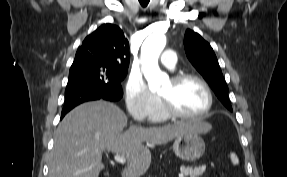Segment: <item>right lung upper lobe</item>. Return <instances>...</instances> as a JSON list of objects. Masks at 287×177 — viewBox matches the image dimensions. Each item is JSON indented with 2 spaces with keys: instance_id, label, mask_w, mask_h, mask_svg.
<instances>
[{
  "instance_id": "cb5924a9",
  "label": "right lung upper lobe",
  "mask_w": 287,
  "mask_h": 177,
  "mask_svg": "<svg viewBox=\"0 0 287 177\" xmlns=\"http://www.w3.org/2000/svg\"><path fill=\"white\" fill-rule=\"evenodd\" d=\"M129 42L114 24H103L88 35L78 48L73 65H103L128 71Z\"/></svg>"
}]
</instances>
